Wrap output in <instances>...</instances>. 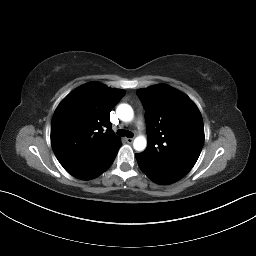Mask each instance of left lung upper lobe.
Listing matches in <instances>:
<instances>
[{"instance_id":"1","label":"left lung upper lobe","mask_w":256,"mask_h":256,"mask_svg":"<svg viewBox=\"0 0 256 256\" xmlns=\"http://www.w3.org/2000/svg\"><path fill=\"white\" fill-rule=\"evenodd\" d=\"M145 107L148 146L142 156L161 172L184 177L204 144L202 116L182 92L165 84L137 90Z\"/></svg>"}]
</instances>
